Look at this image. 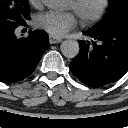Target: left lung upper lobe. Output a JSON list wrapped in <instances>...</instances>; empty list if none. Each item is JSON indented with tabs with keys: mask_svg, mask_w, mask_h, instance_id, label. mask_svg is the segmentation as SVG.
Returning a JSON list of instances; mask_svg holds the SVG:
<instances>
[{
	"mask_svg": "<svg viewBox=\"0 0 128 128\" xmlns=\"http://www.w3.org/2000/svg\"><path fill=\"white\" fill-rule=\"evenodd\" d=\"M128 26V0H109L105 17L91 29L99 33Z\"/></svg>",
	"mask_w": 128,
	"mask_h": 128,
	"instance_id": "left-lung-upper-lobe-1",
	"label": "left lung upper lobe"
}]
</instances>
